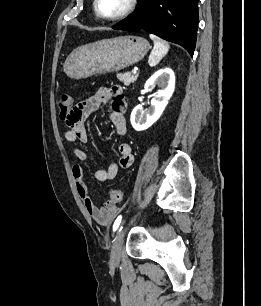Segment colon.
I'll list each match as a JSON object with an SVG mask.
<instances>
[{"instance_id":"5ec220e1","label":"colon","mask_w":261,"mask_h":306,"mask_svg":"<svg viewBox=\"0 0 261 306\" xmlns=\"http://www.w3.org/2000/svg\"><path fill=\"white\" fill-rule=\"evenodd\" d=\"M59 110H60V118L65 120L71 114L73 110V99L69 95H62L59 99ZM111 200L114 202H120L123 198V194L120 190L115 189L111 191L110 194Z\"/></svg>"}]
</instances>
